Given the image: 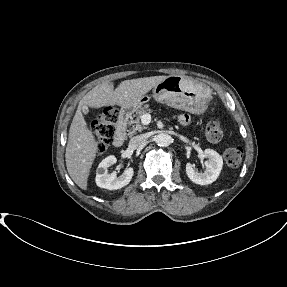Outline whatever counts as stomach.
<instances>
[{
    "label": "stomach",
    "mask_w": 287,
    "mask_h": 287,
    "mask_svg": "<svg viewBox=\"0 0 287 287\" xmlns=\"http://www.w3.org/2000/svg\"><path fill=\"white\" fill-rule=\"evenodd\" d=\"M152 97L157 102L174 108L201 114L208 107L211 92L209 87L201 82L185 76L170 75L153 88ZM149 98L144 96L139 105L122 106L120 111L123 114L131 113L146 103Z\"/></svg>",
    "instance_id": "1"
}]
</instances>
